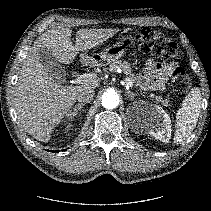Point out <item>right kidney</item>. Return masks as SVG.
I'll use <instances>...</instances> for the list:
<instances>
[{
  "instance_id": "obj_1",
  "label": "right kidney",
  "mask_w": 211,
  "mask_h": 211,
  "mask_svg": "<svg viewBox=\"0 0 211 211\" xmlns=\"http://www.w3.org/2000/svg\"><path fill=\"white\" fill-rule=\"evenodd\" d=\"M71 127H72V124H68L64 130H65V131H66V130H70Z\"/></svg>"
}]
</instances>
